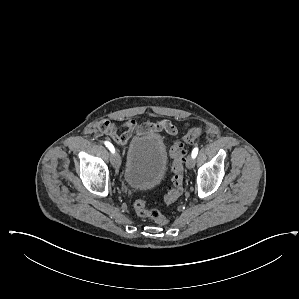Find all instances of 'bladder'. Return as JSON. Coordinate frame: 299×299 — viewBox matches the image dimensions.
<instances>
[{
  "label": "bladder",
  "mask_w": 299,
  "mask_h": 299,
  "mask_svg": "<svg viewBox=\"0 0 299 299\" xmlns=\"http://www.w3.org/2000/svg\"><path fill=\"white\" fill-rule=\"evenodd\" d=\"M167 166L166 145L157 133L135 137L128 145L124 164V180L135 190L158 185Z\"/></svg>",
  "instance_id": "1"
}]
</instances>
